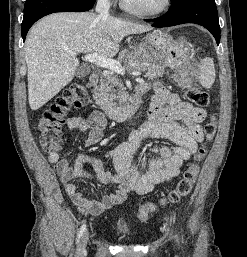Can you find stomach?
<instances>
[{
    "mask_svg": "<svg viewBox=\"0 0 247 257\" xmlns=\"http://www.w3.org/2000/svg\"><path fill=\"white\" fill-rule=\"evenodd\" d=\"M135 55L144 62H158L171 68L181 66L189 57V48L166 32L155 31L144 37Z\"/></svg>",
    "mask_w": 247,
    "mask_h": 257,
    "instance_id": "stomach-1",
    "label": "stomach"
}]
</instances>
